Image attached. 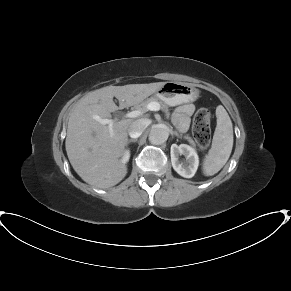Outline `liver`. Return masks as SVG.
Here are the masks:
<instances>
[{"label":"liver","mask_w":291,"mask_h":291,"mask_svg":"<svg viewBox=\"0 0 291 291\" xmlns=\"http://www.w3.org/2000/svg\"><path fill=\"white\" fill-rule=\"evenodd\" d=\"M164 84L107 86L90 92L77 102L69 115L65 147L73 169L86 183L105 189L118 184L127 174L120 157L128 143L132 119L115 121L111 135L108 125L99 123L94 117L110 118L119 108L138 105ZM113 97L119 100V107Z\"/></svg>","instance_id":"liver-1"}]
</instances>
